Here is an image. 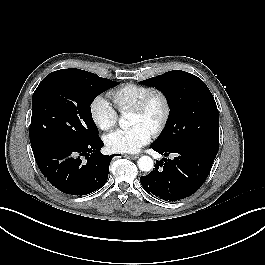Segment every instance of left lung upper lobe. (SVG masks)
<instances>
[{
    "label": "left lung upper lobe",
    "mask_w": 265,
    "mask_h": 265,
    "mask_svg": "<svg viewBox=\"0 0 265 265\" xmlns=\"http://www.w3.org/2000/svg\"><path fill=\"white\" fill-rule=\"evenodd\" d=\"M162 91L170 106L158 147L196 144L218 152L219 114L213 95L197 76L173 70L141 81Z\"/></svg>",
    "instance_id": "obj_1"
}]
</instances>
